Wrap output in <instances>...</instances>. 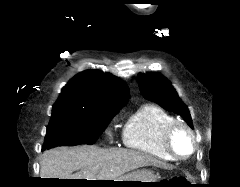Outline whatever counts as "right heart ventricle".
<instances>
[{"label":"right heart ventricle","instance_id":"obj_1","mask_svg":"<svg viewBox=\"0 0 240 187\" xmlns=\"http://www.w3.org/2000/svg\"><path fill=\"white\" fill-rule=\"evenodd\" d=\"M174 121L175 118L159 106L144 105L126 122L122 133L123 144L149 156L174 161L164 145L165 130Z\"/></svg>","mask_w":240,"mask_h":187}]
</instances>
